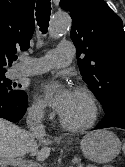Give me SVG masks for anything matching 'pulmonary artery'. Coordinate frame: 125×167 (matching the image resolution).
Instances as JSON below:
<instances>
[{
    "instance_id": "e3ab8cb5",
    "label": "pulmonary artery",
    "mask_w": 125,
    "mask_h": 167,
    "mask_svg": "<svg viewBox=\"0 0 125 167\" xmlns=\"http://www.w3.org/2000/svg\"><path fill=\"white\" fill-rule=\"evenodd\" d=\"M74 56L73 45L70 42H61L39 58H27L25 65H19L15 77L37 75L52 69L63 68L69 65Z\"/></svg>"
}]
</instances>
